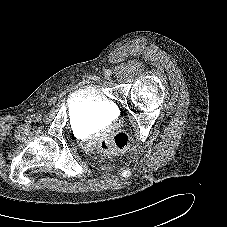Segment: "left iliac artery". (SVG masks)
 <instances>
[{
  "label": "left iliac artery",
  "mask_w": 227,
  "mask_h": 227,
  "mask_svg": "<svg viewBox=\"0 0 227 227\" xmlns=\"http://www.w3.org/2000/svg\"><path fill=\"white\" fill-rule=\"evenodd\" d=\"M105 74H106L107 76H111V75H112V71H111L110 69H107V70L105 71Z\"/></svg>",
  "instance_id": "obj_1"
}]
</instances>
